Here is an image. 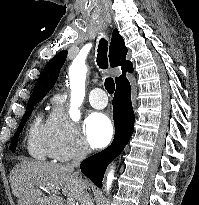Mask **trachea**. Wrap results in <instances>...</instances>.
<instances>
[{"label":"trachea","mask_w":199,"mask_h":205,"mask_svg":"<svg viewBox=\"0 0 199 205\" xmlns=\"http://www.w3.org/2000/svg\"><path fill=\"white\" fill-rule=\"evenodd\" d=\"M107 46L108 42L105 39H101L99 41L98 45V54H97V65L101 69H107L108 68V58H107ZM105 89L109 94H113L115 90V83L112 78H106L105 79Z\"/></svg>","instance_id":"trachea-1"}]
</instances>
